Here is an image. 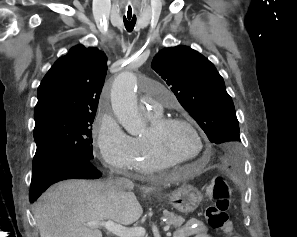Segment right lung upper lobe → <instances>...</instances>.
Here are the masks:
<instances>
[{"label":"right lung upper lobe","instance_id":"cb5924a9","mask_svg":"<svg viewBox=\"0 0 297 237\" xmlns=\"http://www.w3.org/2000/svg\"><path fill=\"white\" fill-rule=\"evenodd\" d=\"M107 57L97 48L78 45L59 58L37 91L35 123L50 116L95 114L104 84Z\"/></svg>","mask_w":297,"mask_h":237}]
</instances>
